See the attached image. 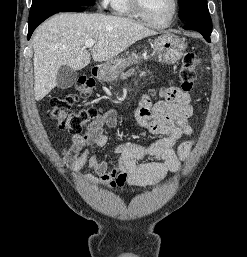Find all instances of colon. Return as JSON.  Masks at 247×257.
I'll return each mask as SVG.
<instances>
[{
    "label": "colon",
    "mask_w": 247,
    "mask_h": 257,
    "mask_svg": "<svg viewBox=\"0 0 247 257\" xmlns=\"http://www.w3.org/2000/svg\"><path fill=\"white\" fill-rule=\"evenodd\" d=\"M199 65V59L194 52L186 53L180 72V87L184 92L193 89L195 71ZM76 94H68L53 97L50 101L51 115L61 129L72 133L81 132L100 115V110L95 107L73 110L72 107L78 99H88L94 93V81L89 78H80L75 84Z\"/></svg>",
    "instance_id": "1"
}]
</instances>
